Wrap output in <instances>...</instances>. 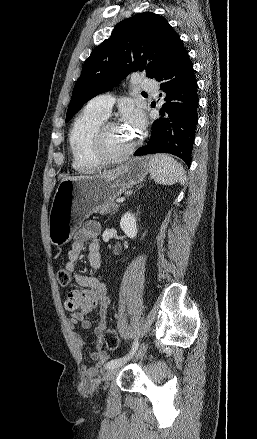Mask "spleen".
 Returning a JSON list of instances; mask_svg holds the SVG:
<instances>
[{
    "instance_id": "obj_1",
    "label": "spleen",
    "mask_w": 257,
    "mask_h": 439,
    "mask_svg": "<svg viewBox=\"0 0 257 439\" xmlns=\"http://www.w3.org/2000/svg\"><path fill=\"white\" fill-rule=\"evenodd\" d=\"M149 173L158 184L173 185L179 182L185 183V171L180 163L166 154L153 155L150 158Z\"/></svg>"
}]
</instances>
